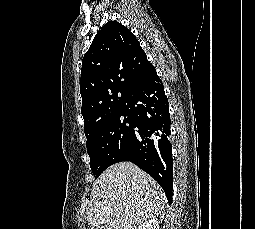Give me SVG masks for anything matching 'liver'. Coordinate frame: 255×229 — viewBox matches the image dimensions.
Listing matches in <instances>:
<instances>
[{
	"instance_id": "obj_1",
	"label": "liver",
	"mask_w": 255,
	"mask_h": 229,
	"mask_svg": "<svg viewBox=\"0 0 255 229\" xmlns=\"http://www.w3.org/2000/svg\"><path fill=\"white\" fill-rule=\"evenodd\" d=\"M165 204L166 196L151 176L131 162H119L95 181L87 221L91 229H138Z\"/></svg>"
}]
</instances>
